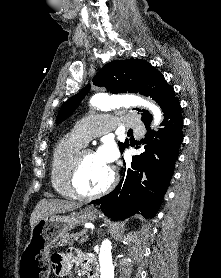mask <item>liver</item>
<instances>
[{"instance_id":"liver-1","label":"liver","mask_w":221,"mask_h":278,"mask_svg":"<svg viewBox=\"0 0 221 278\" xmlns=\"http://www.w3.org/2000/svg\"><path fill=\"white\" fill-rule=\"evenodd\" d=\"M80 207L81 204L73 201H66L61 199H42L38 202L31 214V229L37 224L40 219L44 217L70 212Z\"/></svg>"}]
</instances>
